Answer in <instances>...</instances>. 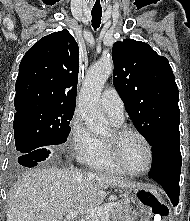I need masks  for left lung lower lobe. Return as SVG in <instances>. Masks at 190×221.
I'll list each match as a JSON object with an SVG mask.
<instances>
[{"mask_svg": "<svg viewBox=\"0 0 190 221\" xmlns=\"http://www.w3.org/2000/svg\"><path fill=\"white\" fill-rule=\"evenodd\" d=\"M152 147V164L149 177L159 183L174 206L179 202L181 173L180 134L159 138Z\"/></svg>", "mask_w": 190, "mask_h": 221, "instance_id": "obj_1", "label": "left lung lower lobe"}]
</instances>
